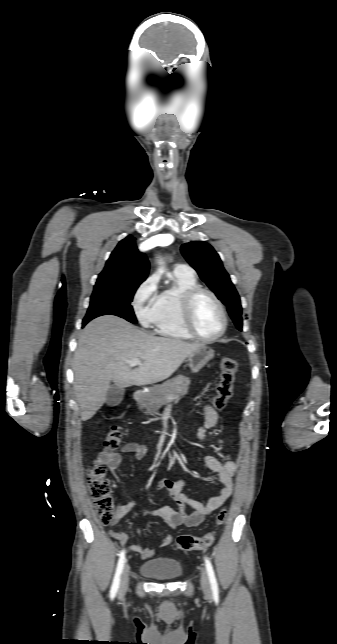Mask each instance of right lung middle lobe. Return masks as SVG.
Masks as SVG:
<instances>
[{
	"mask_svg": "<svg viewBox=\"0 0 337 644\" xmlns=\"http://www.w3.org/2000/svg\"><path fill=\"white\" fill-rule=\"evenodd\" d=\"M140 284L95 285L83 324L102 315H116L137 323L131 302Z\"/></svg>",
	"mask_w": 337,
	"mask_h": 644,
	"instance_id": "obj_1",
	"label": "right lung middle lobe"
}]
</instances>
